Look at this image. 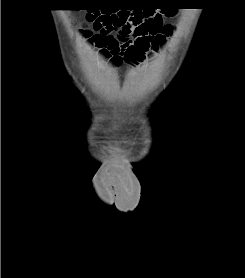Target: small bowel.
I'll list each match as a JSON object with an SVG mask.
<instances>
[{
    "label": "small bowel",
    "mask_w": 245,
    "mask_h": 278,
    "mask_svg": "<svg viewBox=\"0 0 245 278\" xmlns=\"http://www.w3.org/2000/svg\"><path fill=\"white\" fill-rule=\"evenodd\" d=\"M165 38L166 37H161L158 45H154L151 42L143 45L136 37L131 41L123 43L114 34H110L102 39L92 36V40L104 47L106 56L110 58L113 63L119 64L123 60H126L131 65H137L142 63L145 59L153 58V52L157 51Z\"/></svg>",
    "instance_id": "c3829d8e"
}]
</instances>
